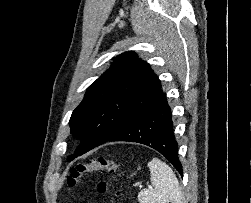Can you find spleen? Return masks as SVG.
<instances>
[{"instance_id":"obj_1","label":"spleen","mask_w":251,"mask_h":203,"mask_svg":"<svg viewBox=\"0 0 251 203\" xmlns=\"http://www.w3.org/2000/svg\"><path fill=\"white\" fill-rule=\"evenodd\" d=\"M148 167L154 189H143L138 194L140 203H182V193L173 170L165 162L153 158Z\"/></svg>"}]
</instances>
